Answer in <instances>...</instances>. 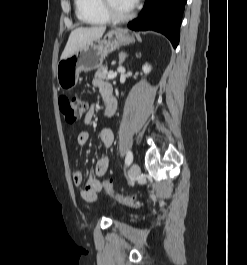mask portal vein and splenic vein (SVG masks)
<instances>
[{
	"instance_id": "obj_1",
	"label": "portal vein and splenic vein",
	"mask_w": 247,
	"mask_h": 265,
	"mask_svg": "<svg viewBox=\"0 0 247 265\" xmlns=\"http://www.w3.org/2000/svg\"><path fill=\"white\" fill-rule=\"evenodd\" d=\"M117 76V73L116 72H110L109 75H108V78L109 79H113Z\"/></svg>"
}]
</instances>
